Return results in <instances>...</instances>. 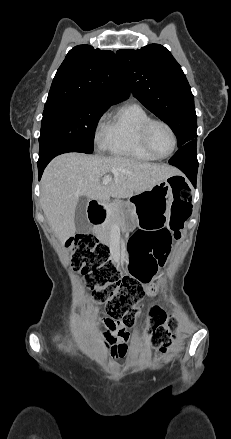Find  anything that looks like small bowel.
I'll list each match as a JSON object with an SVG mask.
<instances>
[{
  "label": "small bowel",
  "instance_id": "small-bowel-1",
  "mask_svg": "<svg viewBox=\"0 0 231 439\" xmlns=\"http://www.w3.org/2000/svg\"><path fill=\"white\" fill-rule=\"evenodd\" d=\"M138 234L143 236L142 241L128 243L131 264L142 263L155 272L158 266H161V261H166L173 239H176L178 234L170 227L164 226L153 230L140 229L131 239ZM102 324L105 328L104 343L109 347L111 356L115 359L126 357L129 352L127 326L107 317L102 318Z\"/></svg>",
  "mask_w": 231,
  "mask_h": 439
}]
</instances>
